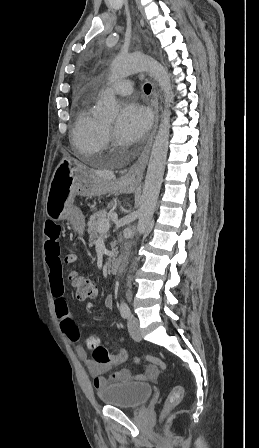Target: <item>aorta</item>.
<instances>
[{
  "label": "aorta",
  "instance_id": "obj_1",
  "mask_svg": "<svg viewBox=\"0 0 259 448\" xmlns=\"http://www.w3.org/2000/svg\"><path fill=\"white\" fill-rule=\"evenodd\" d=\"M142 71H147L157 81L163 91L165 109L153 143L141 196L136 228L139 235H142L149 226L163 181L170 133L171 113L169 108L170 103L173 101L171 80L166 68L153 58L143 54L116 57L111 65L110 75V80L115 81ZM98 112L105 119H113L117 115L116 98L109 90L101 93Z\"/></svg>",
  "mask_w": 259,
  "mask_h": 448
}]
</instances>
